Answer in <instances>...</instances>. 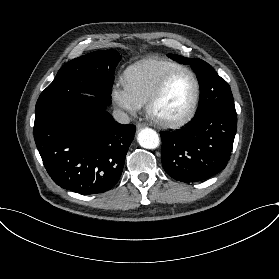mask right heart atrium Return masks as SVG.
Here are the masks:
<instances>
[{
	"label": "right heart atrium",
	"instance_id": "1",
	"mask_svg": "<svg viewBox=\"0 0 279 279\" xmlns=\"http://www.w3.org/2000/svg\"><path fill=\"white\" fill-rule=\"evenodd\" d=\"M112 102L131 115H135L145 106V101L132 92L126 84H115L111 88Z\"/></svg>",
	"mask_w": 279,
	"mask_h": 279
}]
</instances>
